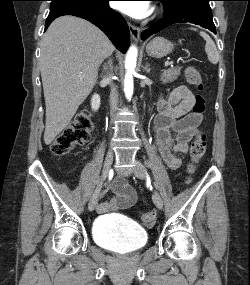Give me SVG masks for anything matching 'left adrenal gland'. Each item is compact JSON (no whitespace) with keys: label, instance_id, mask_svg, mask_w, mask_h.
Returning <instances> with one entry per match:
<instances>
[{"label":"left adrenal gland","instance_id":"1","mask_svg":"<svg viewBox=\"0 0 250 285\" xmlns=\"http://www.w3.org/2000/svg\"><path fill=\"white\" fill-rule=\"evenodd\" d=\"M146 72H147V73L150 72L149 64L146 65Z\"/></svg>","mask_w":250,"mask_h":285}]
</instances>
